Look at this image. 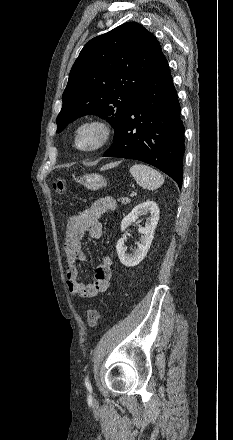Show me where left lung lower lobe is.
Returning a JSON list of instances; mask_svg holds the SVG:
<instances>
[{
    "label": "left lung lower lobe",
    "mask_w": 233,
    "mask_h": 440,
    "mask_svg": "<svg viewBox=\"0 0 233 440\" xmlns=\"http://www.w3.org/2000/svg\"><path fill=\"white\" fill-rule=\"evenodd\" d=\"M168 62L160 55L133 97L107 157L151 164L182 186L184 126Z\"/></svg>",
    "instance_id": "1"
}]
</instances>
